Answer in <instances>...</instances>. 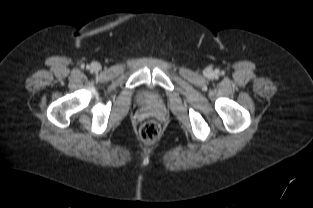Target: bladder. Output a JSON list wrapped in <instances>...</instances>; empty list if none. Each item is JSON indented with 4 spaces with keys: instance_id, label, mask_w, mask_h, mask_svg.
I'll return each instance as SVG.
<instances>
[{
    "instance_id": "obj_1",
    "label": "bladder",
    "mask_w": 313,
    "mask_h": 208,
    "mask_svg": "<svg viewBox=\"0 0 313 208\" xmlns=\"http://www.w3.org/2000/svg\"><path fill=\"white\" fill-rule=\"evenodd\" d=\"M140 96H141V98L144 99V100H147V99H151V98H152L151 93H150L149 91H147V90L142 91Z\"/></svg>"
}]
</instances>
